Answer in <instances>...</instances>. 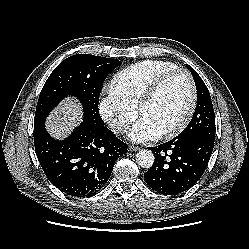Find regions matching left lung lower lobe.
Returning <instances> with one entry per match:
<instances>
[{
    "label": "left lung lower lobe",
    "mask_w": 249,
    "mask_h": 249,
    "mask_svg": "<svg viewBox=\"0 0 249 249\" xmlns=\"http://www.w3.org/2000/svg\"><path fill=\"white\" fill-rule=\"evenodd\" d=\"M214 140L202 135L175 137L157 147H150L155 161L144 174L145 182L155 191L166 195L187 191L204 173Z\"/></svg>",
    "instance_id": "left-lung-lower-lobe-1"
}]
</instances>
